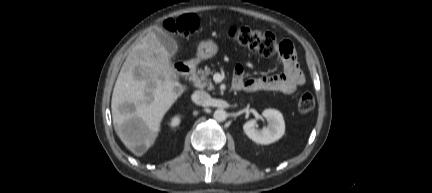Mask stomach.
I'll return each mask as SVG.
<instances>
[{"mask_svg": "<svg viewBox=\"0 0 432 193\" xmlns=\"http://www.w3.org/2000/svg\"><path fill=\"white\" fill-rule=\"evenodd\" d=\"M217 52H218V46L212 40L202 41L197 48V56L201 60L209 59L214 55H216Z\"/></svg>", "mask_w": 432, "mask_h": 193, "instance_id": "0dacf381", "label": "stomach"}]
</instances>
